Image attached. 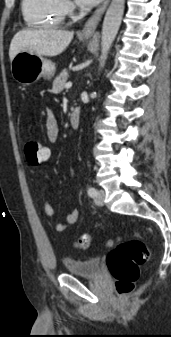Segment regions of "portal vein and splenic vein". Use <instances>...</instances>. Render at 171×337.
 <instances>
[{"label": "portal vein and splenic vein", "instance_id": "1", "mask_svg": "<svg viewBox=\"0 0 171 337\" xmlns=\"http://www.w3.org/2000/svg\"><path fill=\"white\" fill-rule=\"evenodd\" d=\"M71 86H72V83H71V82H68V83H66V84L64 85V87H65L66 89H69Z\"/></svg>", "mask_w": 171, "mask_h": 337}]
</instances>
